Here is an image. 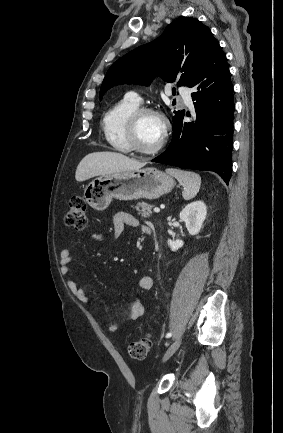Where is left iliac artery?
Here are the masks:
<instances>
[{
  "instance_id": "1",
  "label": "left iliac artery",
  "mask_w": 283,
  "mask_h": 433,
  "mask_svg": "<svg viewBox=\"0 0 283 433\" xmlns=\"http://www.w3.org/2000/svg\"><path fill=\"white\" fill-rule=\"evenodd\" d=\"M171 336H172L171 332H169V333L166 334V338H170Z\"/></svg>"
}]
</instances>
